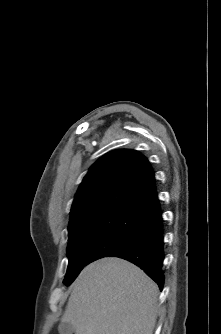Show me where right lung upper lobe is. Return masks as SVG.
<instances>
[{
  "mask_svg": "<svg viewBox=\"0 0 221 334\" xmlns=\"http://www.w3.org/2000/svg\"><path fill=\"white\" fill-rule=\"evenodd\" d=\"M157 201L154 172L147 158L135 150L112 151L92 165L79 186L68 231L99 214L143 216Z\"/></svg>",
  "mask_w": 221,
  "mask_h": 334,
  "instance_id": "obj_1",
  "label": "right lung upper lobe"
}]
</instances>
